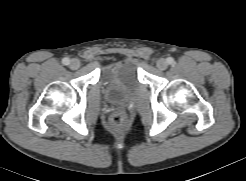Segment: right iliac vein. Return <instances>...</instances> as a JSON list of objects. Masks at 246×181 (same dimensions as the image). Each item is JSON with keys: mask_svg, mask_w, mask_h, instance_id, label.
Instances as JSON below:
<instances>
[{"mask_svg": "<svg viewBox=\"0 0 246 181\" xmlns=\"http://www.w3.org/2000/svg\"><path fill=\"white\" fill-rule=\"evenodd\" d=\"M69 66L71 69H78L80 67V61L78 59H71L69 62Z\"/></svg>", "mask_w": 246, "mask_h": 181, "instance_id": "right-iliac-vein-1", "label": "right iliac vein"}]
</instances>
